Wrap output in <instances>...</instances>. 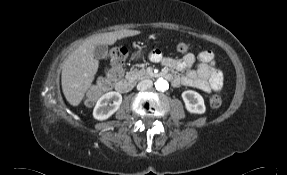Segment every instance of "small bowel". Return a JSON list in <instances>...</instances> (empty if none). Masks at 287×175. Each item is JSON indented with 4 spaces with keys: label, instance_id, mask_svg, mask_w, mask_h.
<instances>
[{
    "label": "small bowel",
    "instance_id": "obj_1",
    "mask_svg": "<svg viewBox=\"0 0 287 175\" xmlns=\"http://www.w3.org/2000/svg\"><path fill=\"white\" fill-rule=\"evenodd\" d=\"M211 56L208 52L199 55V61L194 55H187L182 60H176L169 57H162L159 54L154 56V61H159L165 69L175 73L172 76L175 86H192L204 91L210 89L209 77L212 73L208 65ZM195 66L194 68H191ZM215 83L218 82V76L213 74Z\"/></svg>",
    "mask_w": 287,
    "mask_h": 175
}]
</instances>
